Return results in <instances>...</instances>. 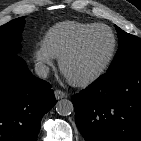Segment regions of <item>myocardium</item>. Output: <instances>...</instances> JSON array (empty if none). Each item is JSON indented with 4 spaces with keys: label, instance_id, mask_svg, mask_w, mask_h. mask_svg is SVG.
I'll list each match as a JSON object with an SVG mask.
<instances>
[{
    "label": "myocardium",
    "instance_id": "obj_1",
    "mask_svg": "<svg viewBox=\"0 0 141 141\" xmlns=\"http://www.w3.org/2000/svg\"><path fill=\"white\" fill-rule=\"evenodd\" d=\"M99 28L106 29L110 33L111 38H112V46H111V49H110V52H109L107 58L102 63V65L96 71H94L92 74H90L86 77L80 78V79L69 78L65 72V65H66L67 61L73 55L76 54V52L79 50V48L81 47L82 43L87 38V36L90 33H92L94 30L99 29ZM116 50H117V37H116L114 31L108 25H105L102 23H96V24L92 25L91 27H89L88 29H86L84 32H82L79 35V37L74 41V43L59 58L60 71L68 79L70 84H72L73 86H75V87L89 86L92 83L96 82L107 71V69L109 68L110 64L112 63V61L114 59Z\"/></svg>",
    "mask_w": 141,
    "mask_h": 141
}]
</instances>
